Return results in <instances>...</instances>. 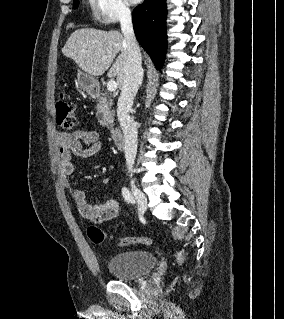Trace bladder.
Returning <instances> with one entry per match:
<instances>
[{
    "label": "bladder",
    "instance_id": "31cf9c89",
    "mask_svg": "<svg viewBox=\"0 0 284 319\" xmlns=\"http://www.w3.org/2000/svg\"><path fill=\"white\" fill-rule=\"evenodd\" d=\"M156 256L146 250H128L115 254L106 261L111 275L119 280H133L152 270Z\"/></svg>",
    "mask_w": 284,
    "mask_h": 319
}]
</instances>
